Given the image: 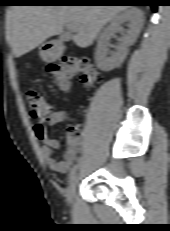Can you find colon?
<instances>
[{
    "label": "colon",
    "instance_id": "colon-1",
    "mask_svg": "<svg viewBox=\"0 0 170 231\" xmlns=\"http://www.w3.org/2000/svg\"><path fill=\"white\" fill-rule=\"evenodd\" d=\"M48 72L54 78L60 89L66 91L70 80L79 77L83 85L94 86L102 80L97 67L88 59L78 56H64L48 66ZM27 100L30 114L35 118H43L52 113L51 107L45 98L37 91H29ZM80 137L79 128L72 126L67 130V142L72 144Z\"/></svg>",
    "mask_w": 170,
    "mask_h": 231
}]
</instances>
